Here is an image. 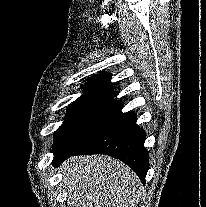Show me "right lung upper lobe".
I'll return each instance as SVG.
<instances>
[{"label": "right lung upper lobe", "instance_id": "cb5924a9", "mask_svg": "<svg viewBox=\"0 0 206 207\" xmlns=\"http://www.w3.org/2000/svg\"><path fill=\"white\" fill-rule=\"evenodd\" d=\"M110 79V74L106 72L92 76L89 81L82 86L86 91L77 100L114 98L117 94L113 90Z\"/></svg>", "mask_w": 206, "mask_h": 207}]
</instances>
